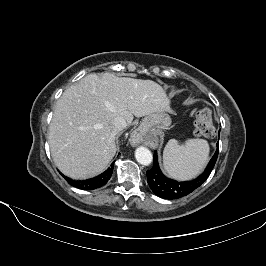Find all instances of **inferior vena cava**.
Segmentation results:
<instances>
[{
	"instance_id": "1",
	"label": "inferior vena cava",
	"mask_w": 266,
	"mask_h": 266,
	"mask_svg": "<svg viewBox=\"0 0 266 266\" xmlns=\"http://www.w3.org/2000/svg\"><path fill=\"white\" fill-rule=\"evenodd\" d=\"M127 123L122 117H116L112 121V129L117 134L120 131H122L124 128H126Z\"/></svg>"
}]
</instances>
